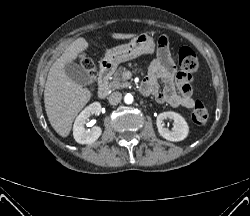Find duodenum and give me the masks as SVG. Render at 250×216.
<instances>
[{"mask_svg": "<svg viewBox=\"0 0 250 216\" xmlns=\"http://www.w3.org/2000/svg\"><path fill=\"white\" fill-rule=\"evenodd\" d=\"M112 65L109 62H103L98 71V95L105 98L109 93L108 76L111 72Z\"/></svg>", "mask_w": 250, "mask_h": 216, "instance_id": "410a0bca", "label": "duodenum"}]
</instances>
